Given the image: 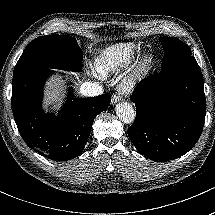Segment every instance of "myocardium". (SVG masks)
<instances>
[{
  "label": "myocardium",
  "mask_w": 215,
  "mask_h": 215,
  "mask_svg": "<svg viewBox=\"0 0 215 215\" xmlns=\"http://www.w3.org/2000/svg\"><path fill=\"white\" fill-rule=\"evenodd\" d=\"M150 54L143 52L138 57L137 65H133L121 82V88L125 92L134 91L142 80L140 65H145L150 61Z\"/></svg>",
  "instance_id": "1"
}]
</instances>
